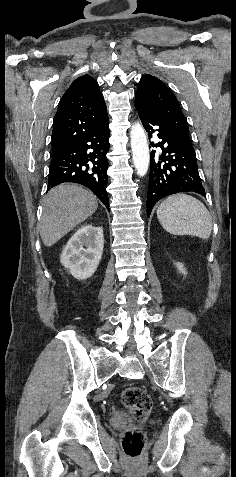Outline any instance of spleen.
<instances>
[{
    "label": "spleen",
    "instance_id": "obj_1",
    "mask_svg": "<svg viewBox=\"0 0 236 477\" xmlns=\"http://www.w3.org/2000/svg\"><path fill=\"white\" fill-rule=\"evenodd\" d=\"M162 227L173 235H192L208 239L212 231V219L205 205L187 194L166 198L157 209Z\"/></svg>",
    "mask_w": 236,
    "mask_h": 477
}]
</instances>
